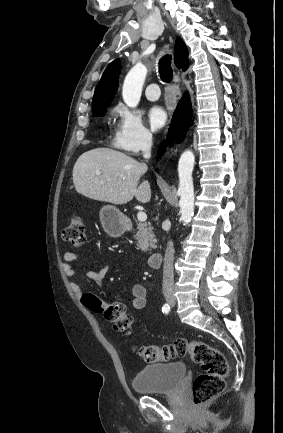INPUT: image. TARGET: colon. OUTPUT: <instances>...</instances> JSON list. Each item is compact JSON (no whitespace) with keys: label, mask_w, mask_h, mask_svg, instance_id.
I'll return each mask as SVG.
<instances>
[{"label":"colon","mask_w":283,"mask_h":433,"mask_svg":"<svg viewBox=\"0 0 283 433\" xmlns=\"http://www.w3.org/2000/svg\"><path fill=\"white\" fill-rule=\"evenodd\" d=\"M63 238L73 248L83 247L86 242L85 220L81 216H72L63 230ZM82 303L91 311L103 314L116 331L124 335L131 334L133 318L127 314L122 303L107 304L92 293L85 294ZM134 350L142 360L150 363L189 356L200 365L203 372L192 385L193 401L197 406L207 403L225 389L227 360L220 350L205 342L181 338L168 345L134 346Z\"/></svg>","instance_id":"colon-1"}]
</instances>
